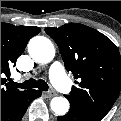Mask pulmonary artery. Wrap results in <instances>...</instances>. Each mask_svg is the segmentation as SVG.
<instances>
[{"label":"pulmonary artery","instance_id":"pulmonary-artery-1","mask_svg":"<svg viewBox=\"0 0 121 121\" xmlns=\"http://www.w3.org/2000/svg\"><path fill=\"white\" fill-rule=\"evenodd\" d=\"M49 75L52 83L61 91L68 93L71 89L70 83L65 76L64 67L61 63L55 62L52 64Z\"/></svg>","mask_w":121,"mask_h":121}]
</instances>
